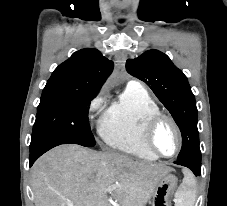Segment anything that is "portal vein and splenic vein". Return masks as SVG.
Segmentation results:
<instances>
[{"label":"portal vein and splenic vein","mask_w":227,"mask_h":206,"mask_svg":"<svg viewBox=\"0 0 227 206\" xmlns=\"http://www.w3.org/2000/svg\"><path fill=\"white\" fill-rule=\"evenodd\" d=\"M116 187L113 185V186H110L108 187L107 191H112L114 190ZM68 206H73V204H68Z\"/></svg>","instance_id":"obj_1"}]
</instances>
